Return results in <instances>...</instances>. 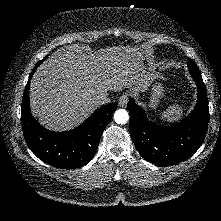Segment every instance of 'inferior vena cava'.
Instances as JSON below:
<instances>
[{
    "label": "inferior vena cava",
    "mask_w": 221,
    "mask_h": 221,
    "mask_svg": "<svg viewBox=\"0 0 221 221\" xmlns=\"http://www.w3.org/2000/svg\"><path fill=\"white\" fill-rule=\"evenodd\" d=\"M96 105H104L110 103V99L106 94L99 95L95 100Z\"/></svg>",
    "instance_id": "obj_1"
}]
</instances>
